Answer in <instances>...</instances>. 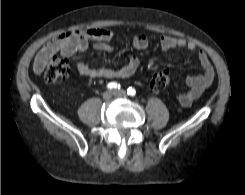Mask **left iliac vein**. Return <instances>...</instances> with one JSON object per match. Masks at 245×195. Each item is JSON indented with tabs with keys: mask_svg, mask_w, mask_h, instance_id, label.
<instances>
[{
	"mask_svg": "<svg viewBox=\"0 0 245 195\" xmlns=\"http://www.w3.org/2000/svg\"><path fill=\"white\" fill-rule=\"evenodd\" d=\"M114 95L123 97V96L126 95V93H125V91H123V90H115V91H114Z\"/></svg>",
	"mask_w": 245,
	"mask_h": 195,
	"instance_id": "1",
	"label": "left iliac vein"
}]
</instances>
